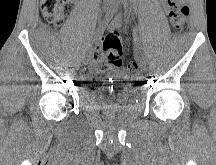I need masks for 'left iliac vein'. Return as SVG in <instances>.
<instances>
[{
	"instance_id": "1",
	"label": "left iliac vein",
	"mask_w": 216,
	"mask_h": 165,
	"mask_svg": "<svg viewBox=\"0 0 216 165\" xmlns=\"http://www.w3.org/2000/svg\"><path fill=\"white\" fill-rule=\"evenodd\" d=\"M138 62H139V65H140L142 70L147 69L148 63H147V59H146V57L144 55L139 56Z\"/></svg>"
}]
</instances>
